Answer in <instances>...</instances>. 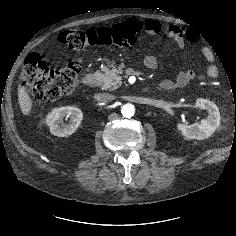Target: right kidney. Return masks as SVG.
<instances>
[{"label":"right kidney","instance_id":"1","mask_svg":"<svg viewBox=\"0 0 236 236\" xmlns=\"http://www.w3.org/2000/svg\"><path fill=\"white\" fill-rule=\"evenodd\" d=\"M64 118H70L68 124L63 123ZM82 118L83 114L79 108L67 106L52 110L46 117V124L53 135L65 137L75 132Z\"/></svg>","mask_w":236,"mask_h":236}]
</instances>
